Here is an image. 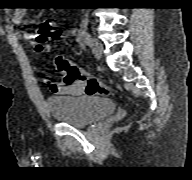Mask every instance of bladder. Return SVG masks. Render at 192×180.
<instances>
[{"instance_id":"31cf9c89","label":"bladder","mask_w":192,"mask_h":180,"mask_svg":"<svg viewBox=\"0 0 192 180\" xmlns=\"http://www.w3.org/2000/svg\"><path fill=\"white\" fill-rule=\"evenodd\" d=\"M53 120L73 126H88L115 111L108 98L92 95L56 96L47 100Z\"/></svg>"}]
</instances>
